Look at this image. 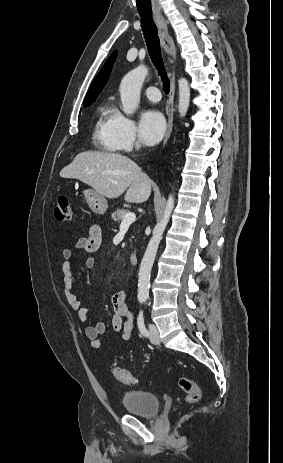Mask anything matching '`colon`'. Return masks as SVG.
<instances>
[{"label":"colon","instance_id":"obj_1","mask_svg":"<svg viewBox=\"0 0 283 463\" xmlns=\"http://www.w3.org/2000/svg\"><path fill=\"white\" fill-rule=\"evenodd\" d=\"M55 216L56 219L62 223L73 221V208L71 200L68 197L61 196L58 198ZM113 374L115 378L123 384L134 385L137 383L136 377L124 368L115 367L113 369ZM178 383L180 389L184 393V400L186 403L194 404L200 400L201 391L195 381L187 376H181Z\"/></svg>","mask_w":283,"mask_h":463}]
</instances>
